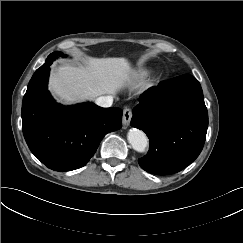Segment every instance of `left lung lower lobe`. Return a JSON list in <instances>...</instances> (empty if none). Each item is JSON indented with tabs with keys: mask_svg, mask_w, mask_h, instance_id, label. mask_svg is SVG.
I'll return each mask as SVG.
<instances>
[{
	"mask_svg": "<svg viewBox=\"0 0 243 243\" xmlns=\"http://www.w3.org/2000/svg\"><path fill=\"white\" fill-rule=\"evenodd\" d=\"M133 109L131 125L150 139L140 166L157 175L174 174L200 154L208 128V113L199 82L185 74L151 87Z\"/></svg>",
	"mask_w": 243,
	"mask_h": 243,
	"instance_id": "obj_1",
	"label": "left lung lower lobe"
}]
</instances>
